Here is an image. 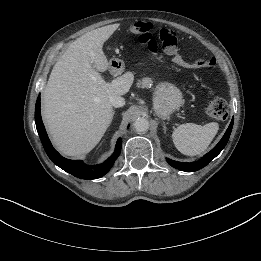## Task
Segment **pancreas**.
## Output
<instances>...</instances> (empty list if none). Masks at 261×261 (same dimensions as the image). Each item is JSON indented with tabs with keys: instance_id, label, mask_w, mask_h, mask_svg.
Wrapping results in <instances>:
<instances>
[{
	"instance_id": "pancreas-1",
	"label": "pancreas",
	"mask_w": 261,
	"mask_h": 261,
	"mask_svg": "<svg viewBox=\"0 0 261 261\" xmlns=\"http://www.w3.org/2000/svg\"><path fill=\"white\" fill-rule=\"evenodd\" d=\"M152 86H153V81L151 78H143L138 83V87H142V88H151Z\"/></svg>"
}]
</instances>
